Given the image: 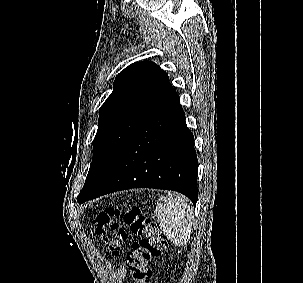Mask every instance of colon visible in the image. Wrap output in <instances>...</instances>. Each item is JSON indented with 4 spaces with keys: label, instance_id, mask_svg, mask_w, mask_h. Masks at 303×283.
Segmentation results:
<instances>
[{
    "label": "colon",
    "instance_id": "1",
    "mask_svg": "<svg viewBox=\"0 0 303 283\" xmlns=\"http://www.w3.org/2000/svg\"><path fill=\"white\" fill-rule=\"evenodd\" d=\"M116 217H120L129 231L138 237L127 254L131 282L151 283L152 271L148 268V262L162 254L166 247L164 238L139 207L133 205L125 210L112 206L102 207L96 210L93 224L113 255L120 254L128 238L127 231L115 221Z\"/></svg>",
    "mask_w": 303,
    "mask_h": 283
}]
</instances>
